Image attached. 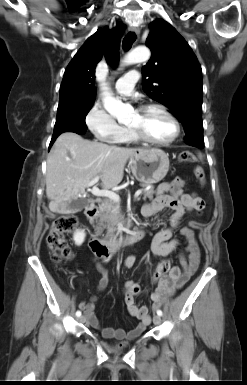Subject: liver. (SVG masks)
Returning <instances> with one entry per match:
<instances>
[{
    "label": "liver",
    "instance_id": "6515ba94",
    "mask_svg": "<svg viewBox=\"0 0 247 385\" xmlns=\"http://www.w3.org/2000/svg\"><path fill=\"white\" fill-rule=\"evenodd\" d=\"M137 150L140 149L85 140L74 132L62 133L47 158L46 196L50 211L66 213L68 204L77 200L96 176L101 178L104 189L117 186L127 160Z\"/></svg>",
    "mask_w": 247,
    "mask_h": 385
}]
</instances>
